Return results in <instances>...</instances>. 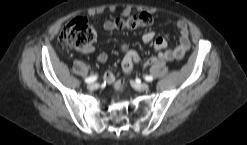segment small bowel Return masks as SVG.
Returning a JSON list of instances; mask_svg holds the SVG:
<instances>
[{
    "label": "small bowel",
    "instance_id": "obj_1",
    "mask_svg": "<svg viewBox=\"0 0 247 145\" xmlns=\"http://www.w3.org/2000/svg\"><path fill=\"white\" fill-rule=\"evenodd\" d=\"M103 27L107 31H111L114 29L113 22L111 20H106L103 23ZM179 33L178 44L174 49H167L168 42L163 37H157L153 31H148L142 35V41L145 44L153 43L154 48L157 50V57H152L148 59L144 66H149L153 63L164 62V61H173V60H181L184 58L186 52L190 49V39H189V30L185 21L179 20L176 24ZM121 50L124 53V61H123V70L127 74L132 70L134 64L138 63L139 57L137 54L130 49V47L126 43L121 44ZM94 51V46L91 45L88 48L81 50L82 53L88 54ZM134 57V61L129 64L128 67L125 68L126 62ZM108 60V55L105 52H101L97 56V61L100 64H104ZM104 80L106 83L112 85L115 89L121 90L124 88L125 83L123 80H117L116 74L113 70H109L104 75Z\"/></svg>",
    "mask_w": 247,
    "mask_h": 145
}]
</instances>
